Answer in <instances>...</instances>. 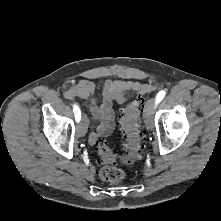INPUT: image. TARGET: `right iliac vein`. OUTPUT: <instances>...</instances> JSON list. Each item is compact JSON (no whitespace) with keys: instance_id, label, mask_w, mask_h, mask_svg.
I'll list each match as a JSON object with an SVG mask.
<instances>
[{"instance_id":"right-iliac-vein-1","label":"right iliac vein","mask_w":221,"mask_h":221,"mask_svg":"<svg viewBox=\"0 0 221 221\" xmlns=\"http://www.w3.org/2000/svg\"><path fill=\"white\" fill-rule=\"evenodd\" d=\"M87 122L88 121H87L86 115H83L81 123L79 124L78 129H77V134L80 137H83L87 132V128H88V123Z\"/></svg>"}]
</instances>
